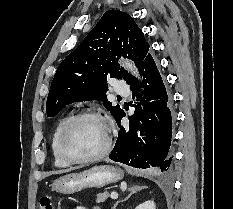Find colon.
<instances>
[{
	"label": "colon",
	"instance_id": "obj_1",
	"mask_svg": "<svg viewBox=\"0 0 233 209\" xmlns=\"http://www.w3.org/2000/svg\"><path fill=\"white\" fill-rule=\"evenodd\" d=\"M38 207H39V209H54V205H53L51 197L42 196L39 199Z\"/></svg>",
	"mask_w": 233,
	"mask_h": 209
}]
</instances>
